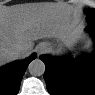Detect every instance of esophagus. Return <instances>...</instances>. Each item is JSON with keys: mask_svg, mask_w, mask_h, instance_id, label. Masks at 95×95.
Wrapping results in <instances>:
<instances>
[{"mask_svg": "<svg viewBox=\"0 0 95 95\" xmlns=\"http://www.w3.org/2000/svg\"><path fill=\"white\" fill-rule=\"evenodd\" d=\"M42 50H43V46H42V45H39V46H38V52L41 53Z\"/></svg>", "mask_w": 95, "mask_h": 95, "instance_id": "34e87169", "label": "esophagus"}]
</instances>
